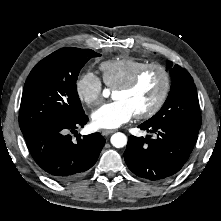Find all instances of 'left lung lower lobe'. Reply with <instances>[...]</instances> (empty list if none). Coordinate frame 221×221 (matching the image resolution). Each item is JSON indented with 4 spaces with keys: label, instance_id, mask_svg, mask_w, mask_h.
<instances>
[{
    "label": "left lung lower lobe",
    "instance_id": "obj_1",
    "mask_svg": "<svg viewBox=\"0 0 221 221\" xmlns=\"http://www.w3.org/2000/svg\"><path fill=\"white\" fill-rule=\"evenodd\" d=\"M139 128L155 133L157 137L128 138L124 158L130 171L138 177L156 182L176 175L189 159L198 134L167 122H144Z\"/></svg>",
    "mask_w": 221,
    "mask_h": 221
}]
</instances>
